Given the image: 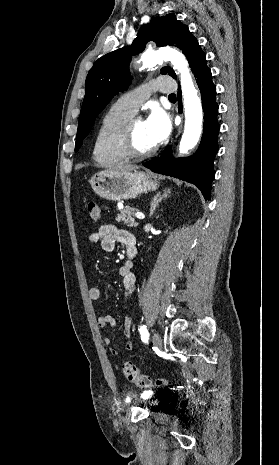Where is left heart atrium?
Returning a JSON list of instances; mask_svg holds the SVG:
<instances>
[{
    "label": "left heart atrium",
    "instance_id": "left-heart-atrium-1",
    "mask_svg": "<svg viewBox=\"0 0 279 465\" xmlns=\"http://www.w3.org/2000/svg\"><path fill=\"white\" fill-rule=\"evenodd\" d=\"M145 125L155 145L164 141L171 131L169 116L158 107L152 109L150 115L145 121Z\"/></svg>",
    "mask_w": 279,
    "mask_h": 465
}]
</instances>
